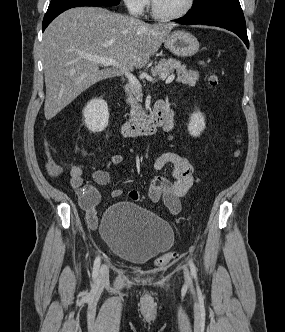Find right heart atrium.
Masks as SVG:
<instances>
[{
  "label": "right heart atrium",
  "instance_id": "1",
  "mask_svg": "<svg viewBox=\"0 0 285 332\" xmlns=\"http://www.w3.org/2000/svg\"><path fill=\"white\" fill-rule=\"evenodd\" d=\"M132 15H141L149 5V0H123Z\"/></svg>",
  "mask_w": 285,
  "mask_h": 332
}]
</instances>
